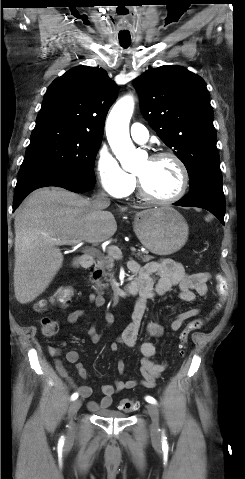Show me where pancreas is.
<instances>
[{
	"label": "pancreas",
	"mask_w": 245,
	"mask_h": 479,
	"mask_svg": "<svg viewBox=\"0 0 245 479\" xmlns=\"http://www.w3.org/2000/svg\"><path fill=\"white\" fill-rule=\"evenodd\" d=\"M135 256L141 258L143 262H148L153 258L151 255L141 254V253H138ZM113 267H114V258L111 255L97 254V263L95 265V268L96 270L101 271V276L104 278V280L107 283H103V281L100 278L93 279L92 282L95 283L96 290H99L102 292L104 289L109 287L108 282L110 280L108 279V277L112 276L111 272Z\"/></svg>",
	"instance_id": "1"
}]
</instances>
